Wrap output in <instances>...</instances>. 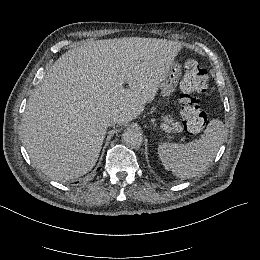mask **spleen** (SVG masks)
I'll return each mask as SVG.
<instances>
[{
	"label": "spleen",
	"mask_w": 260,
	"mask_h": 260,
	"mask_svg": "<svg viewBox=\"0 0 260 260\" xmlns=\"http://www.w3.org/2000/svg\"><path fill=\"white\" fill-rule=\"evenodd\" d=\"M225 135L224 123L211 119L204 134L187 144L159 142L157 156L166 171L179 179L193 178L214 160Z\"/></svg>",
	"instance_id": "spleen-1"
}]
</instances>
